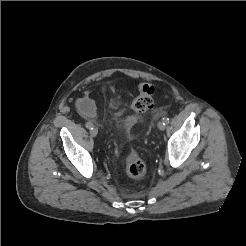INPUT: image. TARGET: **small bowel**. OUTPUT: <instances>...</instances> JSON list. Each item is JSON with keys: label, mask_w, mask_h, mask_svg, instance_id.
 <instances>
[{"label": "small bowel", "mask_w": 246, "mask_h": 246, "mask_svg": "<svg viewBox=\"0 0 246 246\" xmlns=\"http://www.w3.org/2000/svg\"><path fill=\"white\" fill-rule=\"evenodd\" d=\"M78 109L80 113L86 118H93L95 116V107L89 98H83L78 102Z\"/></svg>", "instance_id": "small-bowel-1"}]
</instances>
